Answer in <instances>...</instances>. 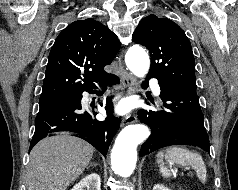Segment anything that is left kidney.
Listing matches in <instances>:
<instances>
[{
  "label": "left kidney",
  "instance_id": "5707ae66",
  "mask_svg": "<svg viewBox=\"0 0 238 190\" xmlns=\"http://www.w3.org/2000/svg\"><path fill=\"white\" fill-rule=\"evenodd\" d=\"M153 190H171V189L165 187L164 185L157 184L153 187Z\"/></svg>",
  "mask_w": 238,
  "mask_h": 190
}]
</instances>
